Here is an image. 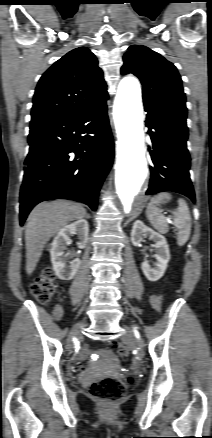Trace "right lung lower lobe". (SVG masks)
Listing matches in <instances>:
<instances>
[{
    "instance_id": "obj_1",
    "label": "right lung lower lobe",
    "mask_w": 212,
    "mask_h": 438,
    "mask_svg": "<svg viewBox=\"0 0 212 438\" xmlns=\"http://www.w3.org/2000/svg\"><path fill=\"white\" fill-rule=\"evenodd\" d=\"M30 150L20 191V225L39 202L70 199L97 208L113 157L106 103L30 123Z\"/></svg>"
}]
</instances>
